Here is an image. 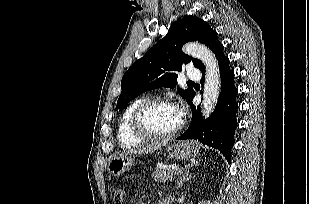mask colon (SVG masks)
Listing matches in <instances>:
<instances>
[{
    "label": "colon",
    "instance_id": "obj_1",
    "mask_svg": "<svg viewBox=\"0 0 309 204\" xmlns=\"http://www.w3.org/2000/svg\"><path fill=\"white\" fill-rule=\"evenodd\" d=\"M110 195L113 201V204H123L125 198V190L119 186H113L110 189Z\"/></svg>",
    "mask_w": 309,
    "mask_h": 204
}]
</instances>
